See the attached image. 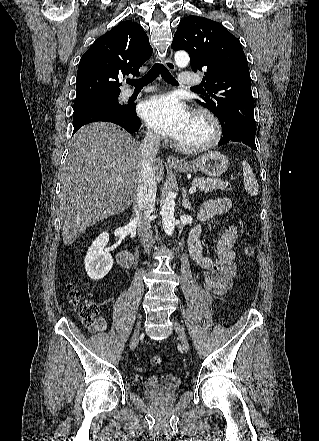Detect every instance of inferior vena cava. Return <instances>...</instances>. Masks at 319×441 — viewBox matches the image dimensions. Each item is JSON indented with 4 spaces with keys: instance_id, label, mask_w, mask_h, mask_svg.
<instances>
[{
    "instance_id": "602c4592",
    "label": "inferior vena cava",
    "mask_w": 319,
    "mask_h": 441,
    "mask_svg": "<svg viewBox=\"0 0 319 441\" xmlns=\"http://www.w3.org/2000/svg\"><path fill=\"white\" fill-rule=\"evenodd\" d=\"M141 146V174L139 190L133 204L132 221L138 227V234L142 246L146 251L152 245L153 237L150 224V215L155 207L157 180L153 170V162L160 147V135L148 131Z\"/></svg>"
}]
</instances>
